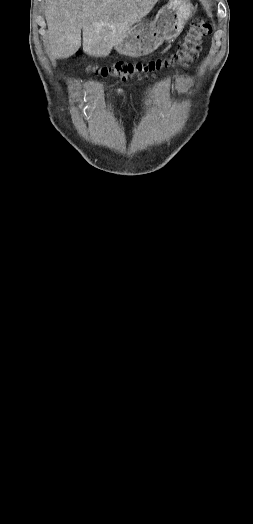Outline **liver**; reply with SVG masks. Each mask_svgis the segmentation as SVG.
<instances>
[{
	"mask_svg": "<svg viewBox=\"0 0 253 524\" xmlns=\"http://www.w3.org/2000/svg\"><path fill=\"white\" fill-rule=\"evenodd\" d=\"M158 0H46L48 51L55 59L72 56L81 47L106 56L127 31L153 9Z\"/></svg>",
	"mask_w": 253,
	"mask_h": 524,
	"instance_id": "obj_1",
	"label": "liver"
}]
</instances>
